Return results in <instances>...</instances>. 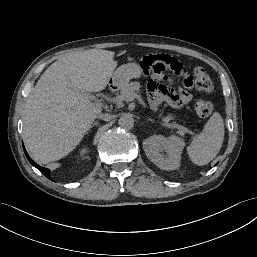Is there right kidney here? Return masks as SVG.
<instances>
[{"label": "right kidney", "instance_id": "ca27d5eb", "mask_svg": "<svg viewBox=\"0 0 257 257\" xmlns=\"http://www.w3.org/2000/svg\"><path fill=\"white\" fill-rule=\"evenodd\" d=\"M87 152H88V149H87V148H83V149L80 150L79 155L82 157V156H84Z\"/></svg>", "mask_w": 257, "mask_h": 257}]
</instances>
